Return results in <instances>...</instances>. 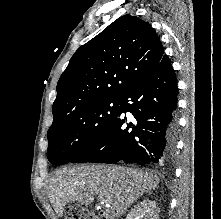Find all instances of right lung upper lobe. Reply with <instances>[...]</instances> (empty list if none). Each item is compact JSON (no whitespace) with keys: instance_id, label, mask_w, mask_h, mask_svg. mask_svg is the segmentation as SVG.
<instances>
[{"instance_id":"right-lung-upper-lobe-1","label":"right lung upper lobe","mask_w":221,"mask_h":219,"mask_svg":"<svg viewBox=\"0 0 221 219\" xmlns=\"http://www.w3.org/2000/svg\"><path fill=\"white\" fill-rule=\"evenodd\" d=\"M164 56L149 23L136 16H121L70 59L57 84L54 121L83 104L120 99Z\"/></svg>"}]
</instances>
